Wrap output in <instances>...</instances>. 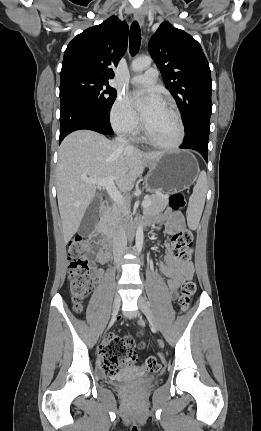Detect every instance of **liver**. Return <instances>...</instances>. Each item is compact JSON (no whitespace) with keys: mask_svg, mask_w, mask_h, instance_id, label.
Masks as SVG:
<instances>
[{"mask_svg":"<svg viewBox=\"0 0 261 431\" xmlns=\"http://www.w3.org/2000/svg\"><path fill=\"white\" fill-rule=\"evenodd\" d=\"M162 154L128 149L90 130L68 135L60 145L56 171L64 242L68 243L78 231L85 211L96 196V185L87 183L86 179L113 176L120 190L129 191L145 166Z\"/></svg>","mask_w":261,"mask_h":431,"instance_id":"1","label":"liver"}]
</instances>
